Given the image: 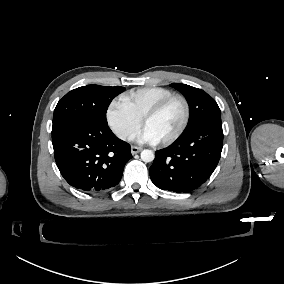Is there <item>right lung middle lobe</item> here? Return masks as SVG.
<instances>
[{
  "label": "right lung middle lobe",
  "instance_id": "1",
  "mask_svg": "<svg viewBox=\"0 0 284 284\" xmlns=\"http://www.w3.org/2000/svg\"><path fill=\"white\" fill-rule=\"evenodd\" d=\"M124 87L87 85L68 92L54 110L52 132L73 120H91L107 125L109 104Z\"/></svg>",
  "mask_w": 284,
  "mask_h": 284
}]
</instances>
